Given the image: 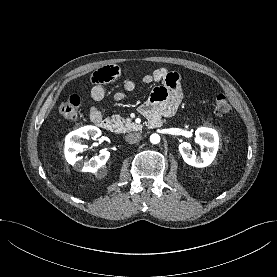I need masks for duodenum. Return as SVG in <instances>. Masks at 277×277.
Here are the masks:
<instances>
[{
  "label": "duodenum",
  "instance_id": "duodenum-1",
  "mask_svg": "<svg viewBox=\"0 0 277 277\" xmlns=\"http://www.w3.org/2000/svg\"><path fill=\"white\" fill-rule=\"evenodd\" d=\"M99 128L106 130V131H111L113 129V125L111 123V121L107 120V119H97L94 122ZM161 124V120L160 117L158 115H151L148 117V126L150 128H155V127H159Z\"/></svg>",
  "mask_w": 277,
  "mask_h": 277
}]
</instances>
